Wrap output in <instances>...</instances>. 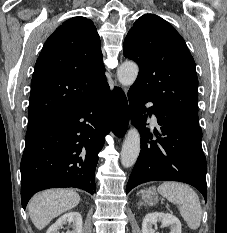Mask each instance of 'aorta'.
<instances>
[{
	"instance_id": "1",
	"label": "aorta",
	"mask_w": 227,
	"mask_h": 233,
	"mask_svg": "<svg viewBox=\"0 0 227 233\" xmlns=\"http://www.w3.org/2000/svg\"><path fill=\"white\" fill-rule=\"evenodd\" d=\"M139 68L134 62H124L117 70V77L119 82L125 86H131L138 75ZM140 153V134L137 129L130 128L127 132L126 138L121 150V164L129 168L133 166Z\"/></svg>"
}]
</instances>
